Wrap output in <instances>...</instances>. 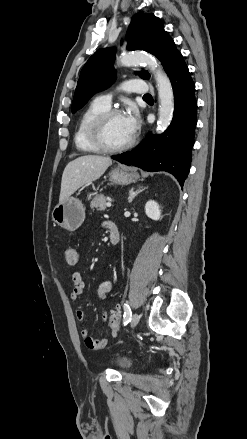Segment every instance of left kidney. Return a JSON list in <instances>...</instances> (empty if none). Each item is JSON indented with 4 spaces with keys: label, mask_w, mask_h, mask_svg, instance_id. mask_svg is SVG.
Listing matches in <instances>:
<instances>
[{
    "label": "left kidney",
    "mask_w": 247,
    "mask_h": 439,
    "mask_svg": "<svg viewBox=\"0 0 247 439\" xmlns=\"http://www.w3.org/2000/svg\"><path fill=\"white\" fill-rule=\"evenodd\" d=\"M145 213L152 220H159L161 217V211L159 205L154 200H149L145 205Z\"/></svg>",
    "instance_id": "5707ae66"
}]
</instances>
